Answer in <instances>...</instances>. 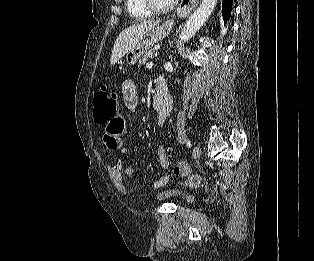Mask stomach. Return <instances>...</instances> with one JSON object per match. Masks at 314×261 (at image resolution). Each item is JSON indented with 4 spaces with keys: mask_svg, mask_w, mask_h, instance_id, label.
I'll list each match as a JSON object with an SVG mask.
<instances>
[{
    "mask_svg": "<svg viewBox=\"0 0 314 261\" xmlns=\"http://www.w3.org/2000/svg\"><path fill=\"white\" fill-rule=\"evenodd\" d=\"M170 31L169 23H164L161 26H157L147 33L144 38L134 46L126 54V63L128 65H134L137 60L145 54L146 51L153 48L155 44L161 41L164 37L168 35Z\"/></svg>",
    "mask_w": 314,
    "mask_h": 261,
    "instance_id": "stomach-1",
    "label": "stomach"
}]
</instances>
